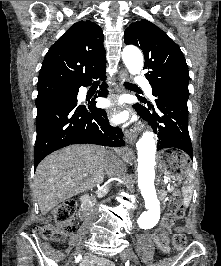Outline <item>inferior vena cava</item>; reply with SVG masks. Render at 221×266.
<instances>
[{
  "label": "inferior vena cava",
  "instance_id": "602c4592",
  "mask_svg": "<svg viewBox=\"0 0 221 266\" xmlns=\"http://www.w3.org/2000/svg\"><path fill=\"white\" fill-rule=\"evenodd\" d=\"M105 171L110 177H120L124 171V165L119 158L108 154L105 158Z\"/></svg>",
  "mask_w": 221,
  "mask_h": 266
}]
</instances>
